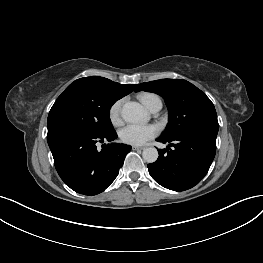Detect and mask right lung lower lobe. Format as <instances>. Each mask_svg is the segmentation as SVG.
Listing matches in <instances>:
<instances>
[{"mask_svg": "<svg viewBox=\"0 0 263 263\" xmlns=\"http://www.w3.org/2000/svg\"><path fill=\"white\" fill-rule=\"evenodd\" d=\"M117 134L98 135L84 131H61L47 136L56 170L72 190L84 195L103 192L117 177L131 146L103 144Z\"/></svg>", "mask_w": 263, "mask_h": 263, "instance_id": "98d812e1", "label": "right lung lower lobe"}]
</instances>
